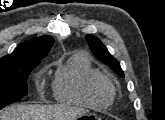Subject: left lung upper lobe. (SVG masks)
Wrapping results in <instances>:
<instances>
[{"label":"left lung upper lobe","instance_id":"5c2ea615","mask_svg":"<svg viewBox=\"0 0 165 120\" xmlns=\"http://www.w3.org/2000/svg\"><path fill=\"white\" fill-rule=\"evenodd\" d=\"M86 39L94 55L108 65L119 76L124 77L120 63L108 52L107 48L102 44V42L97 37L92 35H87Z\"/></svg>","mask_w":165,"mask_h":120}]
</instances>
